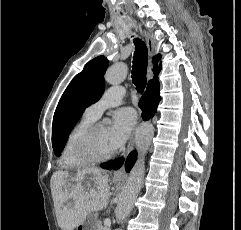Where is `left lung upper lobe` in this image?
Instances as JSON below:
<instances>
[{"instance_id":"1","label":"left lung upper lobe","mask_w":241,"mask_h":230,"mask_svg":"<svg viewBox=\"0 0 241 230\" xmlns=\"http://www.w3.org/2000/svg\"><path fill=\"white\" fill-rule=\"evenodd\" d=\"M108 65L109 61L104 56L89 61L63 93L52 125V146L55 155L59 156L64 149L72 128L84 110L102 96L105 90L103 76Z\"/></svg>"}]
</instances>
